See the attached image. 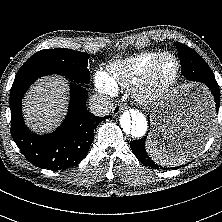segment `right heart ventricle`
I'll use <instances>...</instances> for the list:
<instances>
[{"label": "right heart ventricle", "instance_id": "1", "mask_svg": "<svg viewBox=\"0 0 222 222\" xmlns=\"http://www.w3.org/2000/svg\"><path fill=\"white\" fill-rule=\"evenodd\" d=\"M161 52L150 51L111 63L106 71L109 82L117 89L119 86L134 85L142 76L149 63Z\"/></svg>", "mask_w": 222, "mask_h": 222}]
</instances>
